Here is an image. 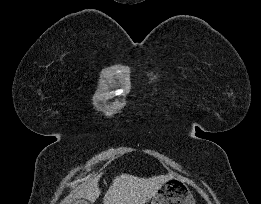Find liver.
<instances>
[{
  "mask_svg": "<svg viewBox=\"0 0 261 204\" xmlns=\"http://www.w3.org/2000/svg\"><path fill=\"white\" fill-rule=\"evenodd\" d=\"M171 177L172 174L139 178L134 175L122 173L113 179L111 186L103 198V203L145 204L153 198L160 187ZM99 178L100 176L80 186L75 195L66 204H71L73 200L81 198L95 202L101 194L98 186Z\"/></svg>",
  "mask_w": 261,
  "mask_h": 204,
  "instance_id": "6515ba94",
  "label": "liver"
}]
</instances>
